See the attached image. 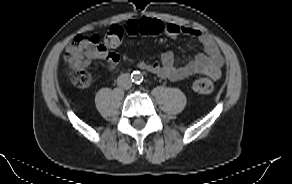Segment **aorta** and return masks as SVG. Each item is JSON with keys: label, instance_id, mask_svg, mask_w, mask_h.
<instances>
[{"label": "aorta", "instance_id": "obj_1", "mask_svg": "<svg viewBox=\"0 0 292 184\" xmlns=\"http://www.w3.org/2000/svg\"><path fill=\"white\" fill-rule=\"evenodd\" d=\"M141 79V75L140 74H138V73H135L134 75H133V80L136 82V81H139Z\"/></svg>", "mask_w": 292, "mask_h": 184}]
</instances>
